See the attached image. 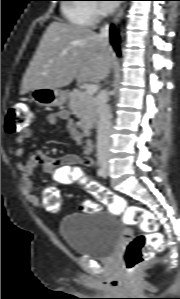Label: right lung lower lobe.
Listing matches in <instances>:
<instances>
[{
	"instance_id": "98d812e1",
	"label": "right lung lower lobe",
	"mask_w": 180,
	"mask_h": 299,
	"mask_svg": "<svg viewBox=\"0 0 180 299\" xmlns=\"http://www.w3.org/2000/svg\"><path fill=\"white\" fill-rule=\"evenodd\" d=\"M110 42H111L114 50L116 51L117 55L120 56L119 37H118L117 30L114 29L113 25L111 26V29H110Z\"/></svg>"
}]
</instances>
